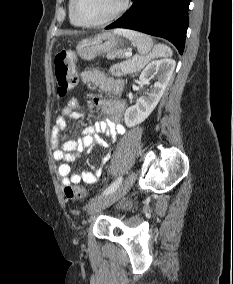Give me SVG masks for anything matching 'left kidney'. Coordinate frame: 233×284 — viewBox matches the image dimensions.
<instances>
[{
    "label": "left kidney",
    "instance_id": "1",
    "mask_svg": "<svg viewBox=\"0 0 233 284\" xmlns=\"http://www.w3.org/2000/svg\"><path fill=\"white\" fill-rule=\"evenodd\" d=\"M175 65L173 59L165 58L151 61L143 69L139 76L141 84H146L153 77L157 81L151 85L145 96H141L135 105L126 109L124 120L127 127L142 123L155 109L172 77Z\"/></svg>",
    "mask_w": 233,
    "mask_h": 284
}]
</instances>
